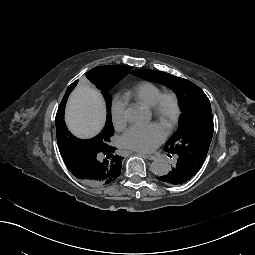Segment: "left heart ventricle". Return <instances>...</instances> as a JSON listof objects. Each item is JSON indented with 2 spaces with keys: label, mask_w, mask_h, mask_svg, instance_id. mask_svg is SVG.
Returning <instances> with one entry per match:
<instances>
[{
  "label": "left heart ventricle",
  "mask_w": 255,
  "mask_h": 255,
  "mask_svg": "<svg viewBox=\"0 0 255 255\" xmlns=\"http://www.w3.org/2000/svg\"><path fill=\"white\" fill-rule=\"evenodd\" d=\"M159 127H160L164 132H166V129H167V121H164L162 124L159 125Z\"/></svg>",
  "instance_id": "b2bd125f"
}]
</instances>
